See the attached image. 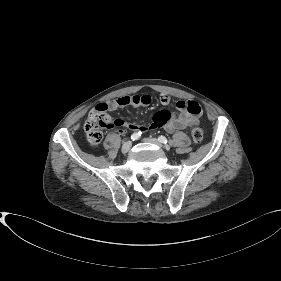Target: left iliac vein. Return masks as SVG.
Instances as JSON below:
<instances>
[{"label": "left iliac vein", "mask_w": 281, "mask_h": 281, "mask_svg": "<svg viewBox=\"0 0 281 281\" xmlns=\"http://www.w3.org/2000/svg\"><path fill=\"white\" fill-rule=\"evenodd\" d=\"M143 141L146 142V143L154 144V145H156L158 147L162 146L161 143L157 139H155V138H145V139H143Z\"/></svg>", "instance_id": "left-iliac-vein-1"}]
</instances>
